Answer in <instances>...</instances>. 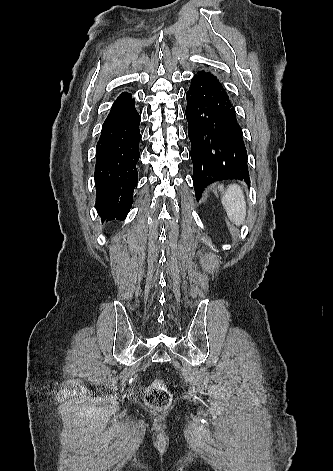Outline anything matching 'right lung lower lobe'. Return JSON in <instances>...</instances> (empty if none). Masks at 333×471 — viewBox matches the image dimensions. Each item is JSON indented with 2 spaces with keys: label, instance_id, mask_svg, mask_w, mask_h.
Wrapping results in <instances>:
<instances>
[{
  "label": "right lung lower lobe",
  "instance_id": "obj_1",
  "mask_svg": "<svg viewBox=\"0 0 333 471\" xmlns=\"http://www.w3.org/2000/svg\"><path fill=\"white\" fill-rule=\"evenodd\" d=\"M140 115L135 100L122 93L105 120L96 146V203L102 219L124 220L138 182Z\"/></svg>",
  "mask_w": 333,
  "mask_h": 471
}]
</instances>
